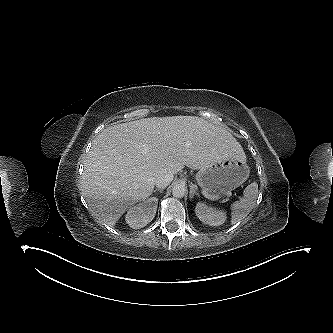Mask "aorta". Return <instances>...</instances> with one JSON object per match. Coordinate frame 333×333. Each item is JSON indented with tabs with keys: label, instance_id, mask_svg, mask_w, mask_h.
Here are the masks:
<instances>
[{
	"label": "aorta",
	"instance_id": "obj_1",
	"mask_svg": "<svg viewBox=\"0 0 333 333\" xmlns=\"http://www.w3.org/2000/svg\"><path fill=\"white\" fill-rule=\"evenodd\" d=\"M186 193V187L182 184H176L172 188V195L175 198H182Z\"/></svg>",
	"mask_w": 333,
	"mask_h": 333
}]
</instances>
